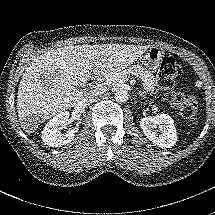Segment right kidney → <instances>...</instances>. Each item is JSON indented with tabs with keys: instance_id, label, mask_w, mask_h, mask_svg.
<instances>
[{
	"instance_id": "obj_1",
	"label": "right kidney",
	"mask_w": 215,
	"mask_h": 215,
	"mask_svg": "<svg viewBox=\"0 0 215 215\" xmlns=\"http://www.w3.org/2000/svg\"><path fill=\"white\" fill-rule=\"evenodd\" d=\"M69 113L61 112L53 117L44 127L42 132V141L45 145L51 147H60L71 142L76 135V130L69 128L62 135L60 132L67 128L69 123Z\"/></svg>"
}]
</instances>
